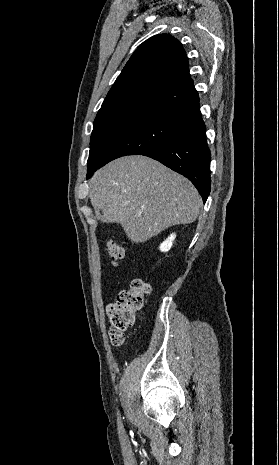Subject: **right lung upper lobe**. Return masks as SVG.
Wrapping results in <instances>:
<instances>
[{
    "label": "right lung upper lobe",
    "mask_w": 279,
    "mask_h": 465,
    "mask_svg": "<svg viewBox=\"0 0 279 465\" xmlns=\"http://www.w3.org/2000/svg\"><path fill=\"white\" fill-rule=\"evenodd\" d=\"M199 109L181 43L168 34L140 45L118 76L99 110L94 128L131 120L178 124Z\"/></svg>",
    "instance_id": "right-lung-upper-lobe-1"
}]
</instances>
